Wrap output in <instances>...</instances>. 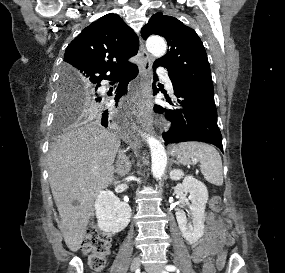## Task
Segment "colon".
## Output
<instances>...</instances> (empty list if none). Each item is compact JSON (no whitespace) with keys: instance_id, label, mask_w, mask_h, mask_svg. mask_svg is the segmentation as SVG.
Returning a JSON list of instances; mask_svg holds the SVG:
<instances>
[{"instance_id":"obj_1","label":"colon","mask_w":285,"mask_h":273,"mask_svg":"<svg viewBox=\"0 0 285 273\" xmlns=\"http://www.w3.org/2000/svg\"><path fill=\"white\" fill-rule=\"evenodd\" d=\"M210 206L216 213L222 211V201L218 195L212 196ZM81 249L89 258V263L94 271L102 270L108 260L111 249V240L108 236L91 229L85 235ZM216 266L213 258H208L202 266V273H215Z\"/></svg>"}]
</instances>
